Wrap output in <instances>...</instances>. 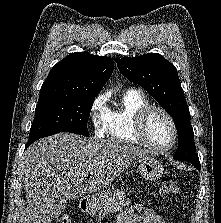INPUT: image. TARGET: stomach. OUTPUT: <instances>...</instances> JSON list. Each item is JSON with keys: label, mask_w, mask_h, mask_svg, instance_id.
Here are the masks:
<instances>
[{"label": "stomach", "mask_w": 221, "mask_h": 223, "mask_svg": "<svg viewBox=\"0 0 221 223\" xmlns=\"http://www.w3.org/2000/svg\"><path fill=\"white\" fill-rule=\"evenodd\" d=\"M138 171L144 179L153 181L159 179L163 175L164 168L158 160L149 156L139 159ZM111 196L112 192L109 189L92 195L88 201L87 211L90 214H95L103 208L104 204Z\"/></svg>", "instance_id": "obj_1"}]
</instances>
